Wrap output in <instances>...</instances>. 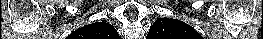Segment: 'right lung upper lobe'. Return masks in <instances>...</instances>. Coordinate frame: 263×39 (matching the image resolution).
Wrapping results in <instances>:
<instances>
[{
	"instance_id": "cb5924a9",
	"label": "right lung upper lobe",
	"mask_w": 263,
	"mask_h": 39,
	"mask_svg": "<svg viewBox=\"0 0 263 39\" xmlns=\"http://www.w3.org/2000/svg\"><path fill=\"white\" fill-rule=\"evenodd\" d=\"M83 39H120L116 29L109 23L96 22L75 31Z\"/></svg>"
}]
</instances>
